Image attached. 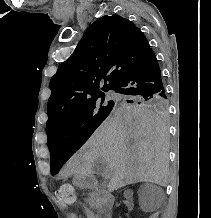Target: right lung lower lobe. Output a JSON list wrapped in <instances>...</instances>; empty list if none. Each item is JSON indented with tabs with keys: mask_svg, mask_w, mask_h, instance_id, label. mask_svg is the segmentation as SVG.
<instances>
[{
	"mask_svg": "<svg viewBox=\"0 0 211 218\" xmlns=\"http://www.w3.org/2000/svg\"><path fill=\"white\" fill-rule=\"evenodd\" d=\"M112 89L129 98H167L154 52L151 50L132 65Z\"/></svg>",
	"mask_w": 211,
	"mask_h": 218,
	"instance_id": "obj_1",
	"label": "right lung lower lobe"
}]
</instances>
